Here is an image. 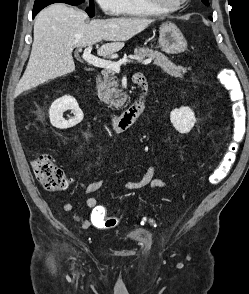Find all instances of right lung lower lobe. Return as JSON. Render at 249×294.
Wrapping results in <instances>:
<instances>
[{
    "mask_svg": "<svg viewBox=\"0 0 249 294\" xmlns=\"http://www.w3.org/2000/svg\"><path fill=\"white\" fill-rule=\"evenodd\" d=\"M42 8L33 9V18L36 16V14L41 10Z\"/></svg>",
    "mask_w": 249,
    "mask_h": 294,
    "instance_id": "right-lung-lower-lobe-1",
    "label": "right lung lower lobe"
}]
</instances>
